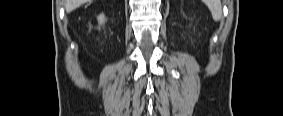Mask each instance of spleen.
Wrapping results in <instances>:
<instances>
[{"label":"spleen","instance_id":"3e777b00","mask_svg":"<svg viewBox=\"0 0 283 116\" xmlns=\"http://www.w3.org/2000/svg\"><path fill=\"white\" fill-rule=\"evenodd\" d=\"M205 4L211 12L214 21H219L222 18V6L220 0H206Z\"/></svg>","mask_w":283,"mask_h":116}]
</instances>
